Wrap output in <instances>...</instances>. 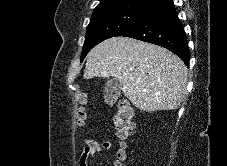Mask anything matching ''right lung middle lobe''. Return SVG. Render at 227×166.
<instances>
[{"label": "right lung middle lobe", "mask_w": 227, "mask_h": 166, "mask_svg": "<svg viewBox=\"0 0 227 166\" xmlns=\"http://www.w3.org/2000/svg\"><path fill=\"white\" fill-rule=\"evenodd\" d=\"M157 7L138 3H124L94 10L87 26L81 61L100 42L118 36L151 14Z\"/></svg>", "instance_id": "1"}]
</instances>
